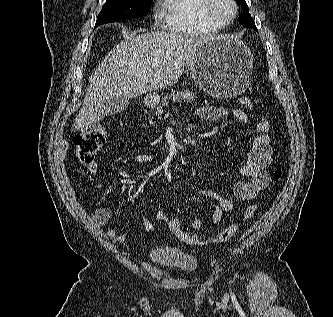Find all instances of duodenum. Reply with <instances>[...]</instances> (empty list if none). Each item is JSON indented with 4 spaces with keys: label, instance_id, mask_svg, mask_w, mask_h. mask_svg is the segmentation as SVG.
Masks as SVG:
<instances>
[{
    "label": "duodenum",
    "instance_id": "obj_1",
    "mask_svg": "<svg viewBox=\"0 0 333 317\" xmlns=\"http://www.w3.org/2000/svg\"><path fill=\"white\" fill-rule=\"evenodd\" d=\"M151 102H152V99H148V100H147V103H151Z\"/></svg>",
    "mask_w": 333,
    "mask_h": 317
}]
</instances>
